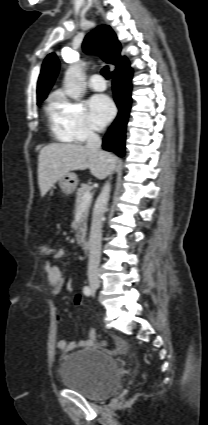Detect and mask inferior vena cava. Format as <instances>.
Here are the masks:
<instances>
[{
  "instance_id": "602c4592",
  "label": "inferior vena cava",
  "mask_w": 208,
  "mask_h": 425,
  "mask_svg": "<svg viewBox=\"0 0 208 425\" xmlns=\"http://www.w3.org/2000/svg\"><path fill=\"white\" fill-rule=\"evenodd\" d=\"M101 139L92 129L87 133L86 147L98 153L102 158L107 157V153L101 150ZM111 174L108 172L107 176ZM111 186L106 182L102 191L97 198L95 209L92 217L90 239H89V264L88 279L89 281L99 283V264L101 256V238H102V218L107 208Z\"/></svg>"
}]
</instances>
